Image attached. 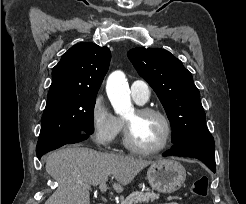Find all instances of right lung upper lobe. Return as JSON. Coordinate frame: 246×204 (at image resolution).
I'll list each match as a JSON object with an SVG mask.
<instances>
[{
	"instance_id": "cb5924a9",
	"label": "right lung upper lobe",
	"mask_w": 246,
	"mask_h": 204,
	"mask_svg": "<svg viewBox=\"0 0 246 204\" xmlns=\"http://www.w3.org/2000/svg\"><path fill=\"white\" fill-rule=\"evenodd\" d=\"M110 59L106 46L91 42L74 45L53 68L47 101L72 95H97Z\"/></svg>"
}]
</instances>
